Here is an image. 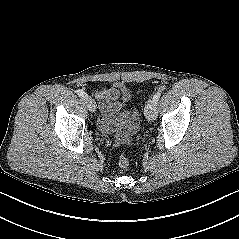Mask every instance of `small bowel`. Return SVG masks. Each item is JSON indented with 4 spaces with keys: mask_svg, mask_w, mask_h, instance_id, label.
<instances>
[{
    "mask_svg": "<svg viewBox=\"0 0 239 239\" xmlns=\"http://www.w3.org/2000/svg\"><path fill=\"white\" fill-rule=\"evenodd\" d=\"M101 111L99 125L102 131L111 133L117 122L128 118L127 112H122V104L119 102V90L116 87H104L95 93Z\"/></svg>",
    "mask_w": 239,
    "mask_h": 239,
    "instance_id": "obj_1",
    "label": "small bowel"
}]
</instances>
